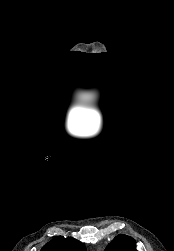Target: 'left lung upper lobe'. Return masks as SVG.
Segmentation results:
<instances>
[{
    "instance_id": "left-lung-upper-lobe-1",
    "label": "left lung upper lobe",
    "mask_w": 174,
    "mask_h": 251,
    "mask_svg": "<svg viewBox=\"0 0 174 251\" xmlns=\"http://www.w3.org/2000/svg\"><path fill=\"white\" fill-rule=\"evenodd\" d=\"M105 251H137L136 241L130 236L120 234L109 243Z\"/></svg>"
}]
</instances>
